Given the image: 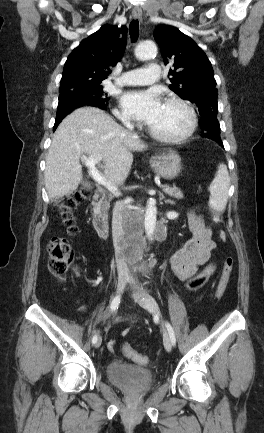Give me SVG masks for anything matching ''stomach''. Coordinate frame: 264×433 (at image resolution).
I'll return each instance as SVG.
<instances>
[{
  "mask_svg": "<svg viewBox=\"0 0 264 433\" xmlns=\"http://www.w3.org/2000/svg\"><path fill=\"white\" fill-rule=\"evenodd\" d=\"M153 171L164 179H174L181 172V158L175 151H167L155 156L150 161Z\"/></svg>",
  "mask_w": 264,
  "mask_h": 433,
  "instance_id": "stomach-1",
  "label": "stomach"
}]
</instances>
